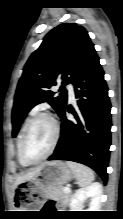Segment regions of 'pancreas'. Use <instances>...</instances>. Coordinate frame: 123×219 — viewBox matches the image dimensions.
Returning <instances> with one entry per match:
<instances>
[{
  "instance_id": "cf45deb5",
  "label": "pancreas",
  "mask_w": 123,
  "mask_h": 219,
  "mask_svg": "<svg viewBox=\"0 0 123 219\" xmlns=\"http://www.w3.org/2000/svg\"><path fill=\"white\" fill-rule=\"evenodd\" d=\"M47 197L61 202H68L71 195L70 193H65L63 187H56L47 192Z\"/></svg>"
}]
</instances>
